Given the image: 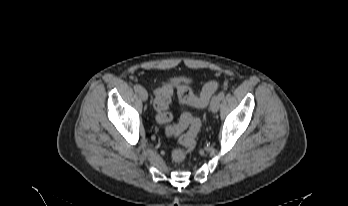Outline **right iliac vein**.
I'll list each match as a JSON object with an SVG mask.
<instances>
[{"label": "right iliac vein", "instance_id": "obj_1", "mask_svg": "<svg viewBox=\"0 0 348 206\" xmlns=\"http://www.w3.org/2000/svg\"><path fill=\"white\" fill-rule=\"evenodd\" d=\"M139 97L142 101H147L148 99V93L145 89L141 88L140 91H139Z\"/></svg>", "mask_w": 348, "mask_h": 206}]
</instances>
